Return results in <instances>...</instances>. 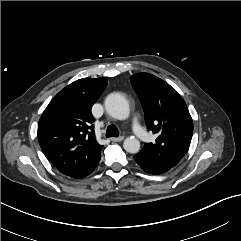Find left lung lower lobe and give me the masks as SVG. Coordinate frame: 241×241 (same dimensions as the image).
Listing matches in <instances>:
<instances>
[{"label": "left lung lower lobe", "mask_w": 241, "mask_h": 241, "mask_svg": "<svg viewBox=\"0 0 241 241\" xmlns=\"http://www.w3.org/2000/svg\"><path fill=\"white\" fill-rule=\"evenodd\" d=\"M145 172L150 173V174H162L167 172L168 170L166 169H160V168H145L143 169Z\"/></svg>", "instance_id": "1"}]
</instances>
